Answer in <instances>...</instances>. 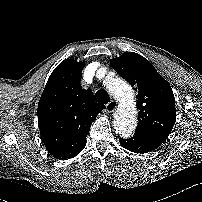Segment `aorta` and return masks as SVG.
<instances>
[{
    "label": "aorta",
    "instance_id": "obj_1",
    "mask_svg": "<svg viewBox=\"0 0 202 202\" xmlns=\"http://www.w3.org/2000/svg\"><path fill=\"white\" fill-rule=\"evenodd\" d=\"M109 92L121 102L114 115V129L122 137H130L137 125V109L134 104V93L131 86L119 78L108 85Z\"/></svg>",
    "mask_w": 202,
    "mask_h": 202
}]
</instances>
